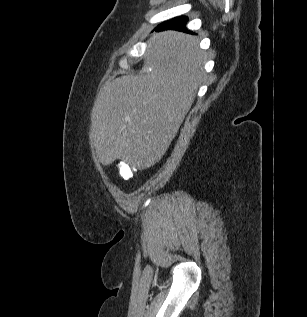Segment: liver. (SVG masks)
Masks as SVG:
<instances>
[{"mask_svg":"<svg viewBox=\"0 0 307 317\" xmlns=\"http://www.w3.org/2000/svg\"><path fill=\"white\" fill-rule=\"evenodd\" d=\"M148 43L147 71L107 82L95 101L90 141L103 165L122 159L147 168L158 162L205 76V52L195 37L165 31Z\"/></svg>","mask_w":307,"mask_h":317,"instance_id":"obj_1","label":"liver"}]
</instances>
